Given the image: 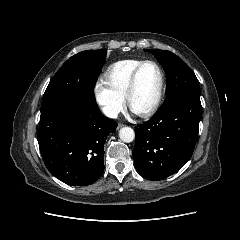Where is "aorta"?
<instances>
[{
  "mask_svg": "<svg viewBox=\"0 0 240 240\" xmlns=\"http://www.w3.org/2000/svg\"><path fill=\"white\" fill-rule=\"evenodd\" d=\"M119 138L125 143H130L135 138L134 130L130 127H122L119 130Z\"/></svg>",
  "mask_w": 240,
  "mask_h": 240,
  "instance_id": "aorta-1",
  "label": "aorta"
}]
</instances>
